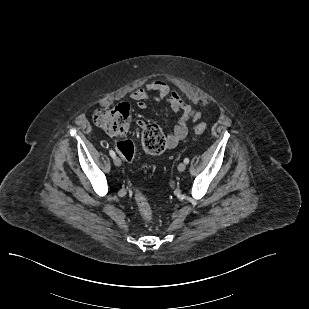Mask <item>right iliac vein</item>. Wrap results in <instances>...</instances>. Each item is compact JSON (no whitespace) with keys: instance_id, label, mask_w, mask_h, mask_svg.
Masks as SVG:
<instances>
[{"instance_id":"right-iliac-vein-1","label":"right iliac vein","mask_w":309,"mask_h":309,"mask_svg":"<svg viewBox=\"0 0 309 309\" xmlns=\"http://www.w3.org/2000/svg\"><path fill=\"white\" fill-rule=\"evenodd\" d=\"M113 162H114V164L116 165V166H121V164H122V162H121V160H120V158L119 157H115V158H113Z\"/></svg>"}]
</instances>
